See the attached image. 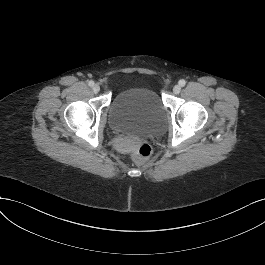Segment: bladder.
<instances>
[{
  "instance_id": "obj_1",
  "label": "bladder",
  "mask_w": 265,
  "mask_h": 265,
  "mask_svg": "<svg viewBox=\"0 0 265 265\" xmlns=\"http://www.w3.org/2000/svg\"><path fill=\"white\" fill-rule=\"evenodd\" d=\"M107 113L110 128L148 134L163 127L165 107L152 89L133 88L117 94Z\"/></svg>"
}]
</instances>
